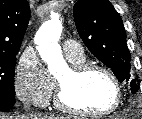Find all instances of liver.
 <instances>
[{
  "instance_id": "obj_1",
  "label": "liver",
  "mask_w": 142,
  "mask_h": 119,
  "mask_svg": "<svg viewBox=\"0 0 142 119\" xmlns=\"http://www.w3.org/2000/svg\"><path fill=\"white\" fill-rule=\"evenodd\" d=\"M65 116H54L48 114H27V115H3L0 114V119H66Z\"/></svg>"
}]
</instances>
